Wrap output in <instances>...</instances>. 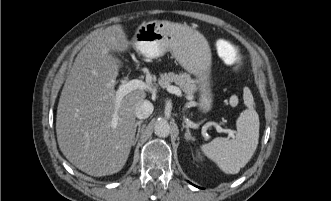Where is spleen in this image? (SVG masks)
Segmentation results:
<instances>
[{"instance_id":"1","label":"spleen","mask_w":331,"mask_h":201,"mask_svg":"<svg viewBox=\"0 0 331 201\" xmlns=\"http://www.w3.org/2000/svg\"><path fill=\"white\" fill-rule=\"evenodd\" d=\"M247 107L237 119V133L233 139L217 137L203 144L201 150L226 174H237L253 156L259 140V116L252 96L245 98Z\"/></svg>"}]
</instances>
